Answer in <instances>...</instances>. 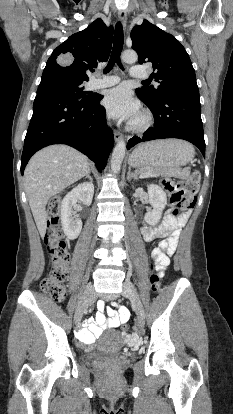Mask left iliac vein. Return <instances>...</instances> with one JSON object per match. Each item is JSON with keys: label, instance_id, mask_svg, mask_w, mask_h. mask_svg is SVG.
Here are the masks:
<instances>
[{"label": "left iliac vein", "instance_id": "obj_1", "mask_svg": "<svg viewBox=\"0 0 233 414\" xmlns=\"http://www.w3.org/2000/svg\"><path fill=\"white\" fill-rule=\"evenodd\" d=\"M122 295L132 301L137 316V322L139 326L142 327L145 322V312L143 305L137 295L135 287L131 282L126 281L123 283Z\"/></svg>", "mask_w": 233, "mask_h": 414}]
</instances>
